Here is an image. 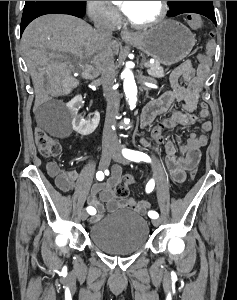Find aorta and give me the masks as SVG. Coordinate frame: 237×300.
Masks as SVG:
<instances>
[{
    "instance_id": "762f6f07",
    "label": "aorta",
    "mask_w": 237,
    "mask_h": 300,
    "mask_svg": "<svg viewBox=\"0 0 237 300\" xmlns=\"http://www.w3.org/2000/svg\"><path fill=\"white\" fill-rule=\"evenodd\" d=\"M122 77H124L123 87L128 105L130 109H135L137 103V87L134 81V75L132 71H130L128 63L126 65V69H124L122 73Z\"/></svg>"
}]
</instances>
